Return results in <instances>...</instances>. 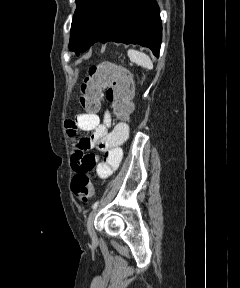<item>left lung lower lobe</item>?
I'll use <instances>...</instances> for the list:
<instances>
[{
    "label": "left lung lower lobe",
    "instance_id": "1",
    "mask_svg": "<svg viewBox=\"0 0 240 288\" xmlns=\"http://www.w3.org/2000/svg\"><path fill=\"white\" fill-rule=\"evenodd\" d=\"M161 37L160 10L155 0H109L94 31L76 54L96 42L114 41L148 47L158 56Z\"/></svg>",
    "mask_w": 240,
    "mask_h": 288
}]
</instances>
